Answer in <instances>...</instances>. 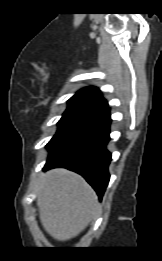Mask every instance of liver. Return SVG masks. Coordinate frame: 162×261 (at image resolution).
Segmentation results:
<instances>
[{"label": "liver", "instance_id": "1", "mask_svg": "<svg viewBox=\"0 0 162 261\" xmlns=\"http://www.w3.org/2000/svg\"><path fill=\"white\" fill-rule=\"evenodd\" d=\"M39 218L45 231L59 241L80 234L98 212L94 190L78 174L54 169L37 188Z\"/></svg>", "mask_w": 162, "mask_h": 261}]
</instances>
